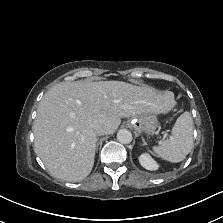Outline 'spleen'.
<instances>
[{"instance_id": "spleen-1", "label": "spleen", "mask_w": 223, "mask_h": 223, "mask_svg": "<svg viewBox=\"0 0 223 223\" xmlns=\"http://www.w3.org/2000/svg\"><path fill=\"white\" fill-rule=\"evenodd\" d=\"M193 119L189 112L181 114L173 128L172 135L159 146H154L153 151L162 159L171 163H178L185 159L194 145Z\"/></svg>"}]
</instances>
